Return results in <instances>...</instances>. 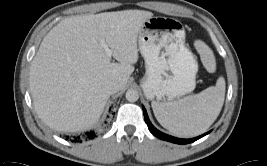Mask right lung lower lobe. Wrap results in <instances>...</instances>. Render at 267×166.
<instances>
[{"label":"right lung lower lobe","mask_w":267,"mask_h":166,"mask_svg":"<svg viewBox=\"0 0 267 166\" xmlns=\"http://www.w3.org/2000/svg\"><path fill=\"white\" fill-rule=\"evenodd\" d=\"M93 134L94 132L93 131H90V132H86L85 134L83 135H77V136H73V142H82V139L83 138H92L93 137ZM69 136L66 137V139H68Z\"/></svg>","instance_id":"right-lung-lower-lobe-1"}]
</instances>
